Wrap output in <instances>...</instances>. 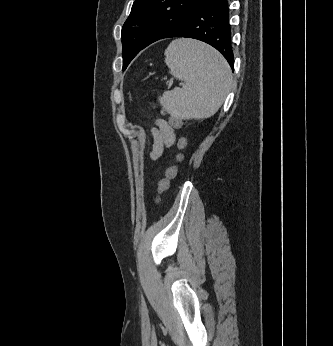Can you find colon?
<instances>
[{"instance_id": "1", "label": "colon", "mask_w": 333, "mask_h": 346, "mask_svg": "<svg viewBox=\"0 0 333 346\" xmlns=\"http://www.w3.org/2000/svg\"><path fill=\"white\" fill-rule=\"evenodd\" d=\"M184 145H185V142L182 141L180 143V146L183 147ZM177 160L180 161L181 156H178ZM176 171H177V168L175 165L169 166L165 170L164 177L162 179H160L158 182V192L159 193H163L164 191H166L168 189L171 180L176 176Z\"/></svg>"}]
</instances>
